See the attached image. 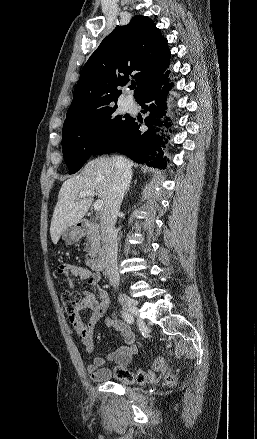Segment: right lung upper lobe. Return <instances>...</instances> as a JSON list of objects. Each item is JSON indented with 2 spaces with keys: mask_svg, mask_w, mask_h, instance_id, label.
Returning a JSON list of instances; mask_svg holds the SVG:
<instances>
[{
  "mask_svg": "<svg viewBox=\"0 0 257 439\" xmlns=\"http://www.w3.org/2000/svg\"><path fill=\"white\" fill-rule=\"evenodd\" d=\"M169 57L167 39L148 17L137 15L116 27L84 65L65 122L117 102V87L126 85L129 76L137 82L138 101L168 68Z\"/></svg>",
  "mask_w": 257,
  "mask_h": 439,
  "instance_id": "cb5924a9",
  "label": "right lung upper lobe"
}]
</instances>
